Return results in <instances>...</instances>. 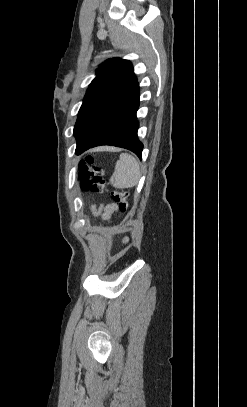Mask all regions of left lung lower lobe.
Instances as JSON below:
<instances>
[{"label": "left lung lower lobe", "mask_w": 247, "mask_h": 407, "mask_svg": "<svg viewBox=\"0 0 247 407\" xmlns=\"http://www.w3.org/2000/svg\"><path fill=\"white\" fill-rule=\"evenodd\" d=\"M139 96V85L136 81L99 115L77 145L76 154L92 147L111 145L131 150L141 158L143 144L138 139L139 122L136 118Z\"/></svg>", "instance_id": "0a47b994"}]
</instances>
